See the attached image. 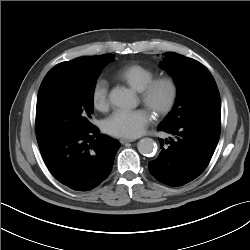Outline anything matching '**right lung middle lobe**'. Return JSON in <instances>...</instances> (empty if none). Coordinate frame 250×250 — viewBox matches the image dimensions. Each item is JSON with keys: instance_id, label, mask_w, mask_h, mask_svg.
<instances>
[{"instance_id": "obj_1", "label": "right lung middle lobe", "mask_w": 250, "mask_h": 250, "mask_svg": "<svg viewBox=\"0 0 250 250\" xmlns=\"http://www.w3.org/2000/svg\"><path fill=\"white\" fill-rule=\"evenodd\" d=\"M114 59L107 54L87 71L62 76L39 91L36 108L37 140L57 134L90 131L93 93L104 66Z\"/></svg>"}]
</instances>
